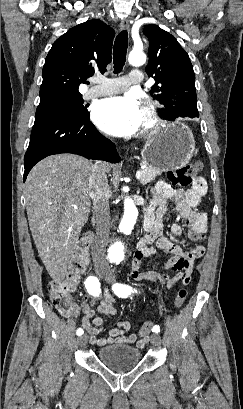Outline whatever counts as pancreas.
<instances>
[{
    "instance_id": "cf45deb5",
    "label": "pancreas",
    "mask_w": 243,
    "mask_h": 409,
    "mask_svg": "<svg viewBox=\"0 0 243 409\" xmlns=\"http://www.w3.org/2000/svg\"><path fill=\"white\" fill-rule=\"evenodd\" d=\"M159 174H160V171L152 169L150 167H146L141 170L140 181L142 184H147Z\"/></svg>"
}]
</instances>
